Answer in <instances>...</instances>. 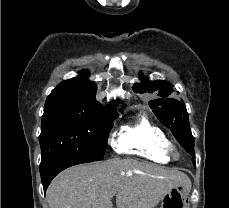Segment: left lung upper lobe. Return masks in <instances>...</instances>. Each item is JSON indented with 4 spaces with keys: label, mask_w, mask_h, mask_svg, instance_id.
Listing matches in <instances>:
<instances>
[{
    "label": "left lung upper lobe",
    "mask_w": 229,
    "mask_h": 208,
    "mask_svg": "<svg viewBox=\"0 0 229 208\" xmlns=\"http://www.w3.org/2000/svg\"><path fill=\"white\" fill-rule=\"evenodd\" d=\"M141 80L142 83L134 84V92L153 93L154 91H158V96L163 98L150 101V108L160 122L171 130L172 134L183 148L194 145V137L190 130L188 113L183 104V100L178 101L172 98H165L174 91L173 85L162 80L148 81L143 77H141Z\"/></svg>",
    "instance_id": "1"
}]
</instances>
